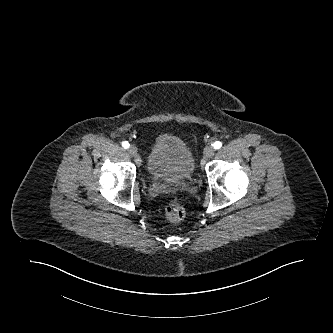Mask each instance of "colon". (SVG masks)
I'll list each match as a JSON object with an SVG mask.
<instances>
[{
  "instance_id": "colon-1",
  "label": "colon",
  "mask_w": 333,
  "mask_h": 333,
  "mask_svg": "<svg viewBox=\"0 0 333 333\" xmlns=\"http://www.w3.org/2000/svg\"><path fill=\"white\" fill-rule=\"evenodd\" d=\"M184 214L183 207L176 202L168 204L165 208V215L172 222L180 221L184 217Z\"/></svg>"
}]
</instances>
